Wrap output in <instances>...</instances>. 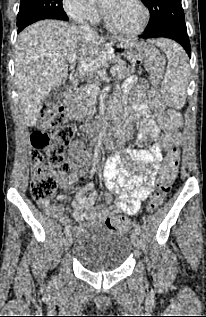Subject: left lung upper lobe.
Returning <instances> with one entry per match:
<instances>
[{"instance_id": "left-lung-upper-lobe-1", "label": "left lung upper lobe", "mask_w": 206, "mask_h": 317, "mask_svg": "<svg viewBox=\"0 0 206 317\" xmlns=\"http://www.w3.org/2000/svg\"><path fill=\"white\" fill-rule=\"evenodd\" d=\"M150 11L151 19L146 32L164 27L185 28L184 12L181 0H141Z\"/></svg>"}]
</instances>
